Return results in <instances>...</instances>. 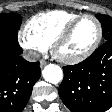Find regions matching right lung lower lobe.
I'll use <instances>...</instances> for the list:
<instances>
[{
  "mask_svg": "<svg viewBox=\"0 0 112 112\" xmlns=\"http://www.w3.org/2000/svg\"><path fill=\"white\" fill-rule=\"evenodd\" d=\"M19 44L0 41V112H21L40 78L39 62L21 57Z\"/></svg>",
  "mask_w": 112,
  "mask_h": 112,
  "instance_id": "obj_1",
  "label": "right lung lower lobe"
}]
</instances>
